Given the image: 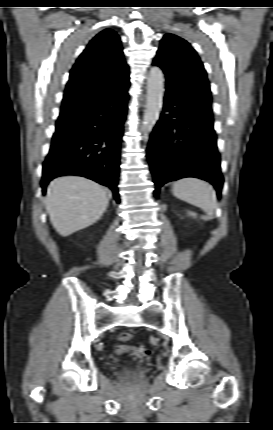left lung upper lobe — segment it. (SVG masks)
Listing matches in <instances>:
<instances>
[{"instance_id": "5c2ea615", "label": "left lung upper lobe", "mask_w": 273, "mask_h": 430, "mask_svg": "<svg viewBox=\"0 0 273 430\" xmlns=\"http://www.w3.org/2000/svg\"><path fill=\"white\" fill-rule=\"evenodd\" d=\"M159 66L173 94L201 115L212 118L210 85L195 50L184 39L166 34L153 61Z\"/></svg>"}]
</instances>
